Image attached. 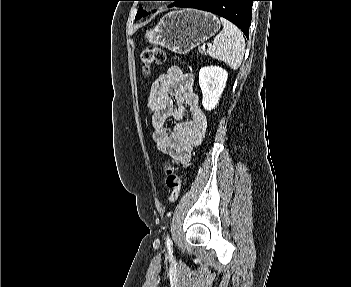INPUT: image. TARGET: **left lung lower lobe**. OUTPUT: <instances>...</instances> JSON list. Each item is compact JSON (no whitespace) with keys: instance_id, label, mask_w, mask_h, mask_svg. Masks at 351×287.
I'll list each match as a JSON object with an SVG mask.
<instances>
[{"instance_id":"obj_1","label":"left lung lower lobe","mask_w":351,"mask_h":287,"mask_svg":"<svg viewBox=\"0 0 351 287\" xmlns=\"http://www.w3.org/2000/svg\"><path fill=\"white\" fill-rule=\"evenodd\" d=\"M253 1L256 0H180L174 6L211 12L237 25L248 38Z\"/></svg>"}]
</instances>
